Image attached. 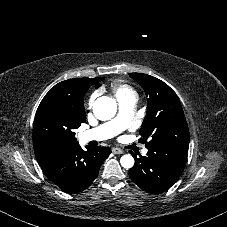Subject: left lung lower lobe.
I'll return each instance as SVG.
<instances>
[{
  "label": "left lung lower lobe",
  "mask_w": 227,
  "mask_h": 227,
  "mask_svg": "<svg viewBox=\"0 0 227 227\" xmlns=\"http://www.w3.org/2000/svg\"><path fill=\"white\" fill-rule=\"evenodd\" d=\"M146 156L135 158L129 170L131 180L142 190L158 194L169 189L181 176L188 155L189 143L159 144L147 146Z\"/></svg>",
  "instance_id": "0a47b994"
}]
</instances>
